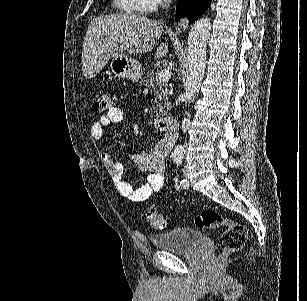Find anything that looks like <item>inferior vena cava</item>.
<instances>
[{"label":"inferior vena cava","mask_w":307,"mask_h":301,"mask_svg":"<svg viewBox=\"0 0 307 301\" xmlns=\"http://www.w3.org/2000/svg\"><path fill=\"white\" fill-rule=\"evenodd\" d=\"M171 0H164V4H170Z\"/></svg>","instance_id":"1"}]
</instances>
